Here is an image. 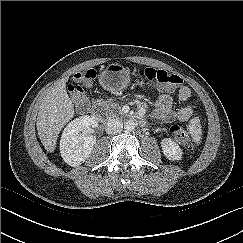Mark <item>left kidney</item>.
Segmentation results:
<instances>
[{"mask_svg":"<svg viewBox=\"0 0 243 243\" xmlns=\"http://www.w3.org/2000/svg\"><path fill=\"white\" fill-rule=\"evenodd\" d=\"M162 152L166 158L171 161H179L182 159V149L180 146L171 140L170 138H165L161 141Z\"/></svg>","mask_w":243,"mask_h":243,"instance_id":"left-kidney-1","label":"left kidney"}]
</instances>
